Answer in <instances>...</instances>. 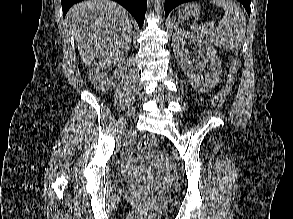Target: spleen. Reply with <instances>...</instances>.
I'll use <instances>...</instances> for the list:
<instances>
[{
  "label": "spleen",
  "instance_id": "spleen-1",
  "mask_svg": "<svg viewBox=\"0 0 293 219\" xmlns=\"http://www.w3.org/2000/svg\"><path fill=\"white\" fill-rule=\"evenodd\" d=\"M211 3L225 10L219 27L214 29L206 25H192L191 29L216 46L238 52L246 32V17L240 6L232 0H211Z\"/></svg>",
  "mask_w": 293,
  "mask_h": 219
}]
</instances>
